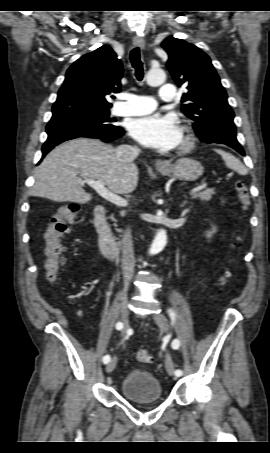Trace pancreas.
Wrapping results in <instances>:
<instances>
[{"label":"pancreas","instance_id":"obj_1","mask_svg":"<svg viewBox=\"0 0 270 453\" xmlns=\"http://www.w3.org/2000/svg\"><path fill=\"white\" fill-rule=\"evenodd\" d=\"M214 194V189L208 188L202 192L193 194L192 199H200L203 202H208L209 200H211L212 195Z\"/></svg>","mask_w":270,"mask_h":453}]
</instances>
